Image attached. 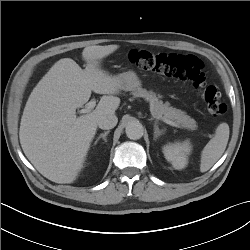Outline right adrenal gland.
<instances>
[{
  "label": "right adrenal gland",
  "instance_id": "1",
  "mask_svg": "<svg viewBox=\"0 0 250 250\" xmlns=\"http://www.w3.org/2000/svg\"><path fill=\"white\" fill-rule=\"evenodd\" d=\"M110 133V131H106L105 133H102L99 135V137L96 139L95 144L102 138L105 142H107L106 136Z\"/></svg>",
  "mask_w": 250,
  "mask_h": 250
}]
</instances>
